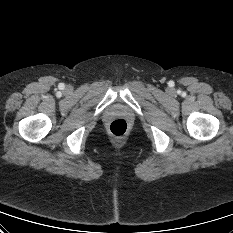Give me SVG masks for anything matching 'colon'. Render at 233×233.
Segmentation results:
<instances>
[{"mask_svg":"<svg viewBox=\"0 0 233 233\" xmlns=\"http://www.w3.org/2000/svg\"><path fill=\"white\" fill-rule=\"evenodd\" d=\"M109 132L115 137H123L128 132V123L124 119H115L109 125Z\"/></svg>","mask_w":233,"mask_h":233,"instance_id":"5ec220e1","label":"colon"}]
</instances>
